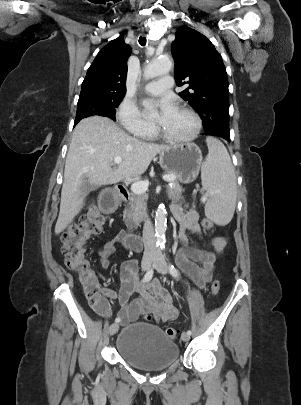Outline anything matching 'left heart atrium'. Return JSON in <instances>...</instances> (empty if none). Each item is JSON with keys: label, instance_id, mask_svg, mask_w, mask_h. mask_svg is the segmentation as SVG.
I'll use <instances>...</instances> for the list:
<instances>
[{"label": "left heart atrium", "instance_id": "left-heart-atrium-1", "mask_svg": "<svg viewBox=\"0 0 301 405\" xmlns=\"http://www.w3.org/2000/svg\"><path fill=\"white\" fill-rule=\"evenodd\" d=\"M155 102L153 101H148L146 104H153ZM156 104L160 107L161 114L166 116L171 113H173L176 110V106L173 102V100L169 97L163 98L162 100L156 102Z\"/></svg>", "mask_w": 301, "mask_h": 405}]
</instances>
